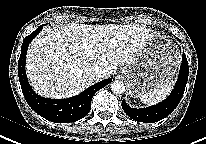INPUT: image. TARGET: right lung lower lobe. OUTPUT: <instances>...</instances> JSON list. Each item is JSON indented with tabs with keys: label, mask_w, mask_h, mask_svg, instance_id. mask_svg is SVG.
<instances>
[{
	"label": "right lung lower lobe",
	"mask_w": 206,
	"mask_h": 144,
	"mask_svg": "<svg viewBox=\"0 0 206 144\" xmlns=\"http://www.w3.org/2000/svg\"><path fill=\"white\" fill-rule=\"evenodd\" d=\"M39 26L34 32L25 37L21 47V55L18 61V74L21 89L28 105L43 118L55 123L74 122L84 118L91 109V101L94 94L101 88L108 85L112 79H105L98 82L81 94L67 99H48L37 95L28 83L25 73L26 54L29 43L42 30Z\"/></svg>",
	"instance_id": "right-lung-lower-lobe-1"
}]
</instances>
